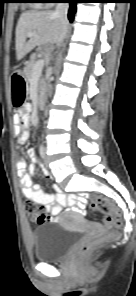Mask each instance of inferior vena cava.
Listing matches in <instances>:
<instances>
[{"mask_svg":"<svg viewBox=\"0 0 136 296\" xmlns=\"http://www.w3.org/2000/svg\"><path fill=\"white\" fill-rule=\"evenodd\" d=\"M68 9H69V4L68 3H57L56 6V10L54 12V14L59 17L62 22L64 23V27L63 30L60 34L59 40L57 42V46H60V44L63 42L66 34H67V30H68V20H67V13H68Z\"/></svg>","mask_w":136,"mask_h":296,"instance_id":"obj_1","label":"inferior vena cava"}]
</instances>
